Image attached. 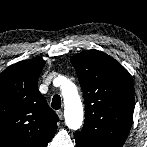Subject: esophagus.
Wrapping results in <instances>:
<instances>
[{
    "instance_id": "34e87169",
    "label": "esophagus",
    "mask_w": 147,
    "mask_h": 147,
    "mask_svg": "<svg viewBox=\"0 0 147 147\" xmlns=\"http://www.w3.org/2000/svg\"><path fill=\"white\" fill-rule=\"evenodd\" d=\"M56 113H57L59 119L63 120V112L61 110H58Z\"/></svg>"
}]
</instances>
